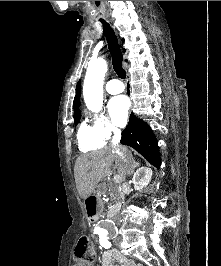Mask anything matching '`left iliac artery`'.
I'll list each match as a JSON object with an SVG mask.
<instances>
[{"label": "left iliac artery", "instance_id": "1", "mask_svg": "<svg viewBox=\"0 0 221 266\" xmlns=\"http://www.w3.org/2000/svg\"><path fill=\"white\" fill-rule=\"evenodd\" d=\"M98 234H99V242L101 246H103L106 249L110 248L111 243L108 241V238L106 237L107 232L100 231Z\"/></svg>", "mask_w": 221, "mask_h": 266}]
</instances>
